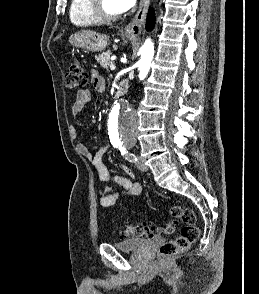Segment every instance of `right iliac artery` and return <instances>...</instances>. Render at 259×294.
Masks as SVG:
<instances>
[{
    "label": "right iliac artery",
    "mask_w": 259,
    "mask_h": 294,
    "mask_svg": "<svg viewBox=\"0 0 259 294\" xmlns=\"http://www.w3.org/2000/svg\"><path fill=\"white\" fill-rule=\"evenodd\" d=\"M112 145H113L114 147H117L118 144L113 142Z\"/></svg>",
    "instance_id": "1"
}]
</instances>
